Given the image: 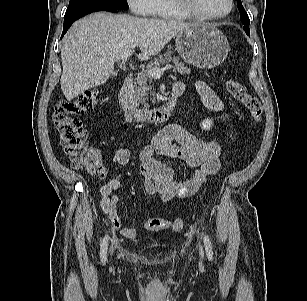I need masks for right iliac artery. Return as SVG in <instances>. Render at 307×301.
<instances>
[{
  "label": "right iliac artery",
  "instance_id": "right-iliac-artery-1",
  "mask_svg": "<svg viewBox=\"0 0 307 301\" xmlns=\"http://www.w3.org/2000/svg\"><path fill=\"white\" fill-rule=\"evenodd\" d=\"M107 248H108V239L107 237H105L101 243V249H100V257L102 262L106 261Z\"/></svg>",
  "mask_w": 307,
  "mask_h": 301
}]
</instances>
